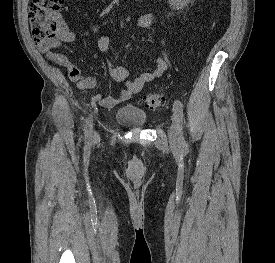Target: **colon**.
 Segmentation results:
<instances>
[{
  "label": "colon",
  "instance_id": "5ec220e1",
  "mask_svg": "<svg viewBox=\"0 0 275 263\" xmlns=\"http://www.w3.org/2000/svg\"><path fill=\"white\" fill-rule=\"evenodd\" d=\"M64 0H32L30 7V27L34 42L38 45L50 42L60 30V21L55 13ZM141 103L151 109L160 108L165 103L162 94H145Z\"/></svg>",
  "mask_w": 275,
  "mask_h": 263
}]
</instances>
